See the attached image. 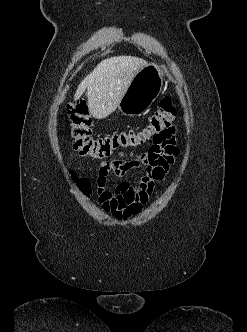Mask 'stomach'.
<instances>
[{"mask_svg":"<svg viewBox=\"0 0 247 332\" xmlns=\"http://www.w3.org/2000/svg\"><path fill=\"white\" fill-rule=\"evenodd\" d=\"M163 69L156 63H147L133 77L118 105L126 116L144 114L160 94L163 86Z\"/></svg>","mask_w":247,"mask_h":332,"instance_id":"0dacf381","label":"stomach"}]
</instances>
